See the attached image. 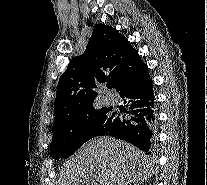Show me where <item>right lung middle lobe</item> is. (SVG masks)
Masks as SVG:
<instances>
[{
	"instance_id": "dd1d6c3e",
	"label": "right lung middle lobe",
	"mask_w": 207,
	"mask_h": 185,
	"mask_svg": "<svg viewBox=\"0 0 207 185\" xmlns=\"http://www.w3.org/2000/svg\"><path fill=\"white\" fill-rule=\"evenodd\" d=\"M114 117L112 109L103 107L78 115L52 128L51 156L58 160L72 155L85 142L98 135L105 125L113 121Z\"/></svg>"
}]
</instances>
